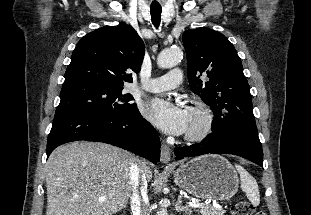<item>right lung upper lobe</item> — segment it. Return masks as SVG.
<instances>
[{
	"label": "right lung upper lobe",
	"mask_w": 311,
	"mask_h": 215,
	"mask_svg": "<svg viewBox=\"0 0 311 215\" xmlns=\"http://www.w3.org/2000/svg\"><path fill=\"white\" fill-rule=\"evenodd\" d=\"M144 54V42L131 26L101 27L77 43L63 86L95 83L123 88L125 82L132 83L129 71H140Z\"/></svg>",
	"instance_id": "1"
}]
</instances>
